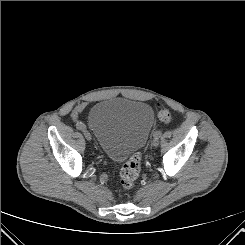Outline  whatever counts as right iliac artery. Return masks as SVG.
<instances>
[{"instance_id":"right-iliac-artery-1","label":"right iliac artery","mask_w":245,"mask_h":245,"mask_svg":"<svg viewBox=\"0 0 245 245\" xmlns=\"http://www.w3.org/2000/svg\"><path fill=\"white\" fill-rule=\"evenodd\" d=\"M76 128H77L78 130H85V129H86L85 125H84L83 123H81V122H78V123L76 124Z\"/></svg>"}]
</instances>
